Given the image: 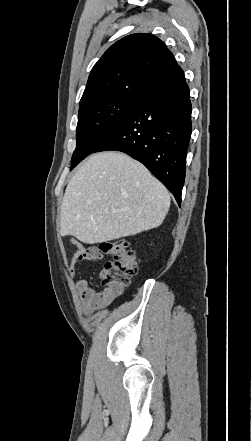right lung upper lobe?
<instances>
[{"label":"right lung upper lobe","instance_id":"cb5924a9","mask_svg":"<svg viewBox=\"0 0 251 441\" xmlns=\"http://www.w3.org/2000/svg\"><path fill=\"white\" fill-rule=\"evenodd\" d=\"M182 69L154 35H128L106 50L91 70L79 109L117 96L143 95Z\"/></svg>","mask_w":251,"mask_h":441}]
</instances>
